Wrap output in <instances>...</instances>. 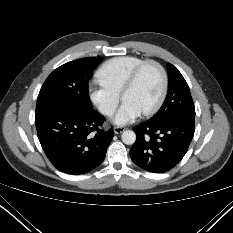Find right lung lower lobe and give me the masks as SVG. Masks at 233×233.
Here are the masks:
<instances>
[{"label": "right lung lower lobe", "instance_id": "98d812e1", "mask_svg": "<svg viewBox=\"0 0 233 233\" xmlns=\"http://www.w3.org/2000/svg\"><path fill=\"white\" fill-rule=\"evenodd\" d=\"M104 118L94 109H50L35 115L41 146L50 162L67 174H84L99 166L114 133L103 131Z\"/></svg>", "mask_w": 233, "mask_h": 233}]
</instances>
